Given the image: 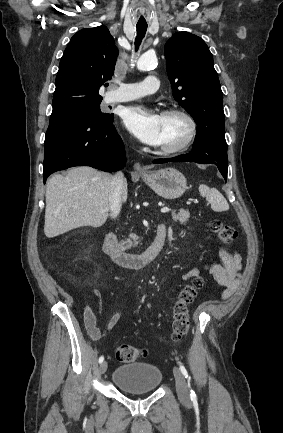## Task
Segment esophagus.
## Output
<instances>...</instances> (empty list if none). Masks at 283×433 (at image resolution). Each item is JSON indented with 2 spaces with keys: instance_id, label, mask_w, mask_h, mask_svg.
<instances>
[{
  "instance_id": "obj_1",
  "label": "esophagus",
  "mask_w": 283,
  "mask_h": 433,
  "mask_svg": "<svg viewBox=\"0 0 283 433\" xmlns=\"http://www.w3.org/2000/svg\"><path fill=\"white\" fill-rule=\"evenodd\" d=\"M134 169L137 170L138 172L145 171L144 168L140 165V163H135Z\"/></svg>"
}]
</instances>
